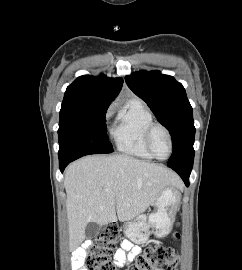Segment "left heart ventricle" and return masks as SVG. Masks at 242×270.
Returning <instances> with one entry per match:
<instances>
[{"mask_svg":"<svg viewBox=\"0 0 242 270\" xmlns=\"http://www.w3.org/2000/svg\"><path fill=\"white\" fill-rule=\"evenodd\" d=\"M151 145L154 153L158 157L164 158L168 155L170 150L169 140L166 133L162 129L157 128L153 132L151 138Z\"/></svg>","mask_w":242,"mask_h":270,"instance_id":"obj_1","label":"left heart ventricle"}]
</instances>
